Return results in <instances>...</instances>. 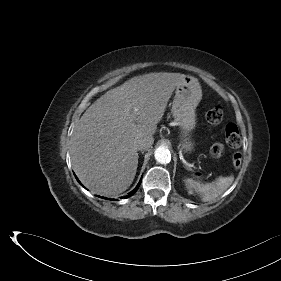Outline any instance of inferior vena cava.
Listing matches in <instances>:
<instances>
[{
	"label": "inferior vena cava",
	"instance_id": "obj_1",
	"mask_svg": "<svg viewBox=\"0 0 281 281\" xmlns=\"http://www.w3.org/2000/svg\"><path fill=\"white\" fill-rule=\"evenodd\" d=\"M154 139L153 137L141 138L137 141V148L138 150H146L151 147L153 144Z\"/></svg>",
	"mask_w": 281,
	"mask_h": 281
}]
</instances>
